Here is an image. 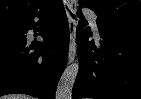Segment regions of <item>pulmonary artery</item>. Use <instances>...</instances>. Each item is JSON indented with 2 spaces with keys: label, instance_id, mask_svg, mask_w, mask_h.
<instances>
[{
  "label": "pulmonary artery",
  "instance_id": "obj_1",
  "mask_svg": "<svg viewBox=\"0 0 141 99\" xmlns=\"http://www.w3.org/2000/svg\"><path fill=\"white\" fill-rule=\"evenodd\" d=\"M86 15L90 20V23H91V26H92V29H93L94 33L96 35H98V27H97V23H96V15L91 11H86Z\"/></svg>",
  "mask_w": 141,
  "mask_h": 99
}]
</instances>
